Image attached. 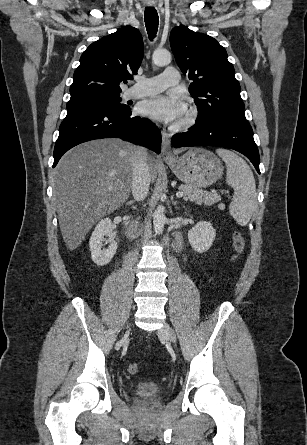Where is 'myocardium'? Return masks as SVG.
Here are the masks:
<instances>
[{"mask_svg": "<svg viewBox=\"0 0 307 445\" xmlns=\"http://www.w3.org/2000/svg\"><path fill=\"white\" fill-rule=\"evenodd\" d=\"M199 117H200V110L198 109L197 106L191 105L188 108L184 118L181 121H179L174 126V128L178 131L186 130L191 126H193L197 122Z\"/></svg>", "mask_w": 307, "mask_h": 445, "instance_id": "1", "label": "myocardium"}]
</instances>
